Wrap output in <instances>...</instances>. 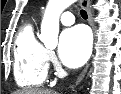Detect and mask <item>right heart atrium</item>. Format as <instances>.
Returning a JSON list of instances; mask_svg holds the SVG:
<instances>
[{
  "mask_svg": "<svg viewBox=\"0 0 121 94\" xmlns=\"http://www.w3.org/2000/svg\"><path fill=\"white\" fill-rule=\"evenodd\" d=\"M47 59H48L49 62H54L55 58H54L53 52L48 51V53H47Z\"/></svg>",
  "mask_w": 121,
  "mask_h": 94,
  "instance_id": "d8ad5b80",
  "label": "right heart atrium"
}]
</instances>
